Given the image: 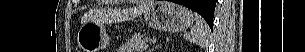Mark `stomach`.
I'll return each instance as SVG.
<instances>
[{"instance_id":"1","label":"stomach","mask_w":305,"mask_h":52,"mask_svg":"<svg viewBox=\"0 0 305 52\" xmlns=\"http://www.w3.org/2000/svg\"><path fill=\"white\" fill-rule=\"evenodd\" d=\"M144 20L156 30L179 33L192 26L194 16L188 8L169 1H155L144 12ZM109 30L104 23L87 22L77 34L78 46L83 52H100L109 45Z\"/></svg>"}]
</instances>
